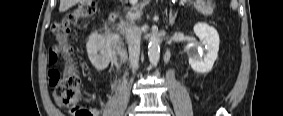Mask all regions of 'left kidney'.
I'll return each mask as SVG.
<instances>
[{"label":"left kidney","mask_w":283,"mask_h":116,"mask_svg":"<svg viewBox=\"0 0 283 116\" xmlns=\"http://www.w3.org/2000/svg\"><path fill=\"white\" fill-rule=\"evenodd\" d=\"M194 33L199 37L201 45L190 44L187 46L189 64L197 73H208L218 56L219 35L215 28L206 23L195 24ZM201 46H204L205 53H203Z\"/></svg>","instance_id":"1"}]
</instances>
